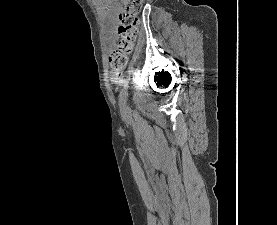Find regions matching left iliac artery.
I'll list each match as a JSON object with an SVG mask.
<instances>
[{"label":"left iliac artery","instance_id":"left-iliac-artery-1","mask_svg":"<svg viewBox=\"0 0 277 225\" xmlns=\"http://www.w3.org/2000/svg\"><path fill=\"white\" fill-rule=\"evenodd\" d=\"M127 91H128V81H125L119 93V104L121 107H123L124 104H126Z\"/></svg>","mask_w":277,"mask_h":225}]
</instances>
